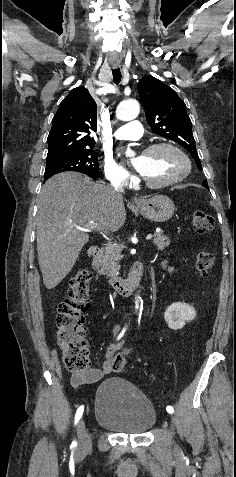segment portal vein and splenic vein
Listing matches in <instances>:
<instances>
[{
    "label": "portal vein and splenic vein",
    "mask_w": 236,
    "mask_h": 477,
    "mask_svg": "<svg viewBox=\"0 0 236 477\" xmlns=\"http://www.w3.org/2000/svg\"><path fill=\"white\" fill-rule=\"evenodd\" d=\"M82 227L84 228V230H99V231H105V229L98 223H88V224H84L82 225ZM82 227H78V228H82ZM152 238V234H148L146 236V240H150Z\"/></svg>",
    "instance_id": "18ae733b"
}]
</instances>
